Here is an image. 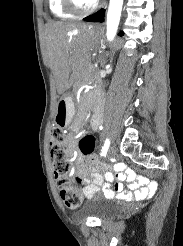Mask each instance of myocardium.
I'll return each instance as SVG.
<instances>
[{"instance_id": "myocardium-1", "label": "myocardium", "mask_w": 183, "mask_h": 246, "mask_svg": "<svg viewBox=\"0 0 183 246\" xmlns=\"http://www.w3.org/2000/svg\"><path fill=\"white\" fill-rule=\"evenodd\" d=\"M63 4L67 11L77 16L88 15L95 11L98 7L97 0L87 7L80 6L77 0H63Z\"/></svg>"}]
</instances>
